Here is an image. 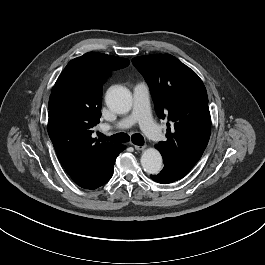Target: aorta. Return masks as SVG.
<instances>
[{
	"mask_svg": "<svg viewBox=\"0 0 265 265\" xmlns=\"http://www.w3.org/2000/svg\"><path fill=\"white\" fill-rule=\"evenodd\" d=\"M108 108L117 113H128L132 107V96L130 91L121 86H111L105 96ZM162 156L155 148L146 149L141 156V165L148 174H158L162 169Z\"/></svg>",
	"mask_w": 265,
	"mask_h": 265,
	"instance_id": "aorta-1",
	"label": "aorta"
}]
</instances>
